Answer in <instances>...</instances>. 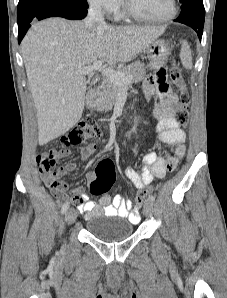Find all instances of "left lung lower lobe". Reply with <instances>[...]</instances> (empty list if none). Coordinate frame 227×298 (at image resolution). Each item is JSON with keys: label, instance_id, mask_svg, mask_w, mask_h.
Segmentation results:
<instances>
[{"label": "left lung lower lobe", "instance_id": "1", "mask_svg": "<svg viewBox=\"0 0 227 298\" xmlns=\"http://www.w3.org/2000/svg\"><path fill=\"white\" fill-rule=\"evenodd\" d=\"M175 21L190 26L197 32L198 37L202 38L204 20L189 16L185 18H177Z\"/></svg>", "mask_w": 227, "mask_h": 298}]
</instances>
